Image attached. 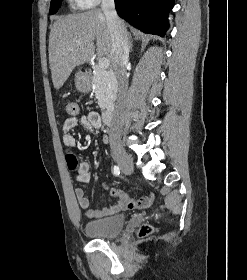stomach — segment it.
<instances>
[{
    "mask_svg": "<svg viewBox=\"0 0 247 280\" xmlns=\"http://www.w3.org/2000/svg\"><path fill=\"white\" fill-rule=\"evenodd\" d=\"M75 85L76 88L81 92H87L91 88L89 79H87L82 72L76 73Z\"/></svg>",
    "mask_w": 247,
    "mask_h": 280,
    "instance_id": "1",
    "label": "stomach"
}]
</instances>
